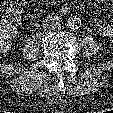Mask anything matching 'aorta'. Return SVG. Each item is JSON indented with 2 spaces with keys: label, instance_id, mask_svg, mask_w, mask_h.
Wrapping results in <instances>:
<instances>
[{
  "label": "aorta",
  "instance_id": "obj_1",
  "mask_svg": "<svg viewBox=\"0 0 113 113\" xmlns=\"http://www.w3.org/2000/svg\"><path fill=\"white\" fill-rule=\"evenodd\" d=\"M67 26L71 30H77L81 26V19L78 16H70L67 20Z\"/></svg>",
  "mask_w": 113,
  "mask_h": 113
}]
</instances>
